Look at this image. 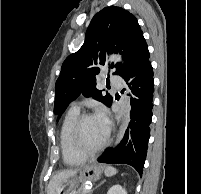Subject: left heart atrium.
Returning <instances> with one entry per match:
<instances>
[{
	"label": "left heart atrium",
	"mask_w": 201,
	"mask_h": 194,
	"mask_svg": "<svg viewBox=\"0 0 201 194\" xmlns=\"http://www.w3.org/2000/svg\"><path fill=\"white\" fill-rule=\"evenodd\" d=\"M97 123L99 124L104 136H107L110 129V121L107 111L100 107L94 115Z\"/></svg>",
	"instance_id": "39dd6f15"
}]
</instances>
